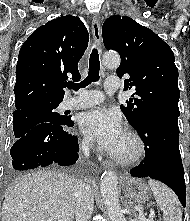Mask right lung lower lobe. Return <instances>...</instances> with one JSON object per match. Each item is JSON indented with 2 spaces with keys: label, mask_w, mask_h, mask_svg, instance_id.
Here are the masks:
<instances>
[{
  "label": "right lung lower lobe",
  "mask_w": 190,
  "mask_h": 221,
  "mask_svg": "<svg viewBox=\"0 0 190 221\" xmlns=\"http://www.w3.org/2000/svg\"><path fill=\"white\" fill-rule=\"evenodd\" d=\"M74 122H44L17 139L11 147L12 165L16 170H28L58 163L62 166L74 164L78 159L79 146L76 136L65 131Z\"/></svg>",
  "instance_id": "98d812e1"
}]
</instances>
